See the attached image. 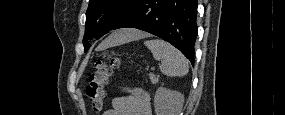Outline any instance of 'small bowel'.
Wrapping results in <instances>:
<instances>
[{
	"instance_id": "1",
	"label": "small bowel",
	"mask_w": 285,
	"mask_h": 115,
	"mask_svg": "<svg viewBox=\"0 0 285 115\" xmlns=\"http://www.w3.org/2000/svg\"><path fill=\"white\" fill-rule=\"evenodd\" d=\"M151 97L139 87H132L126 96L112 100V107L104 115H151Z\"/></svg>"
}]
</instances>
